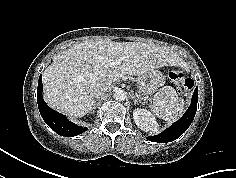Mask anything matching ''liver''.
Returning a JSON list of instances; mask_svg holds the SVG:
<instances>
[{
	"mask_svg": "<svg viewBox=\"0 0 236 178\" xmlns=\"http://www.w3.org/2000/svg\"><path fill=\"white\" fill-rule=\"evenodd\" d=\"M117 57L123 58L122 63L109 67ZM180 63L176 53L155 44L107 39L74 44L55 56L43 72V96L53 109L80 118L91 111L98 84Z\"/></svg>",
	"mask_w": 236,
	"mask_h": 178,
	"instance_id": "liver-1",
	"label": "liver"
}]
</instances>
